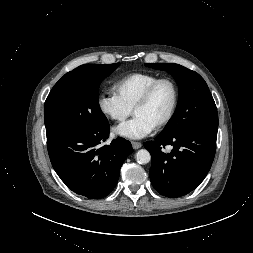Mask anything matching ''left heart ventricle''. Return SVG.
Here are the masks:
<instances>
[{"label": "left heart ventricle", "mask_w": 253, "mask_h": 253, "mask_svg": "<svg viewBox=\"0 0 253 253\" xmlns=\"http://www.w3.org/2000/svg\"><path fill=\"white\" fill-rule=\"evenodd\" d=\"M173 101V89L167 82L160 84L152 94L150 100L138 107L134 114L148 120L154 127L167 115Z\"/></svg>", "instance_id": "obj_1"}]
</instances>
